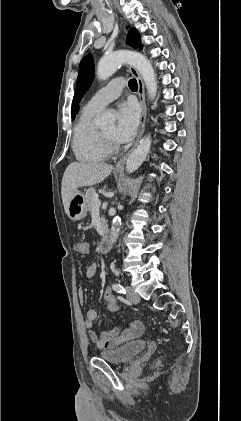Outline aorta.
Instances as JSON below:
<instances>
[{
    "instance_id": "762f6f07",
    "label": "aorta",
    "mask_w": 241,
    "mask_h": 421,
    "mask_svg": "<svg viewBox=\"0 0 241 421\" xmlns=\"http://www.w3.org/2000/svg\"><path fill=\"white\" fill-rule=\"evenodd\" d=\"M124 63L133 65L142 76L147 88L148 95L154 99L157 92L156 74L151 62L141 53L128 50L116 51L110 55L103 57L97 65V77L100 80H105L112 76L116 70ZM115 116L106 112L102 114L97 123L100 126H107L113 124ZM151 147L150 135L145 136L139 145L129 154L126 161V171L132 173L136 171L146 159ZM121 219L115 216L112 220L110 240L112 243L116 242L119 236Z\"/></svg>"
}]
</instances>
